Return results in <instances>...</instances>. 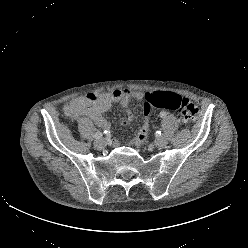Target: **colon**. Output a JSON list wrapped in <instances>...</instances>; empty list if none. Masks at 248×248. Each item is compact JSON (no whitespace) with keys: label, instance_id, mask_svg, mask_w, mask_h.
<instances>
[{"label":"colon","instance_id":"obj_1","mask_svg":"<svg viewBox=\"0 0 248 248\" xmlns=\"http://www.w3.org/2000/svg\"><path fill=\"white\" fill-rule=\"evenodd\" d=\"M144 120L139 129L135 143L137 146L143 145L149 136V113L152 108L176 110L184 122L190 123L197 119L198 108L187 98L181 97L171 92H154L144 96Z\"/></svg>","mask_w":248,"mask_h":248}]
</instances>
